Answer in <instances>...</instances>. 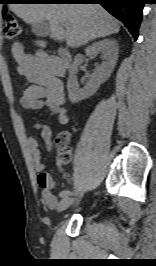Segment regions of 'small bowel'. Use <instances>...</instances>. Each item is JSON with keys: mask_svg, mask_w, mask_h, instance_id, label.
<instances>
[{"mask_svg": "<svg viewBox=\"0 0 156 266\" xmlns=\"http://www.w3.org/2000/svg\"><path fill=\"white\" fill-rule=\"evenodd\" d=\"M11 52L18 72L30 82L20 99L22 107L29 110L47 109L52 118L57 119L61 124H67L69 117L64 107L63 84L54 68L55 58L45 51L28 54L19 42L12 45ZM35 131L41 133L45 147L50 151L52 149L51 129L45 124L35 123L27 138V144L37 172V183L41 189L42 199L49 208H55L58 204L54 194L55 181L49 173L45 172L41 151L33 134Z\"/></svg>", "mask_w": 156, "mask_h": 266, "instance_id": "1", "label": "small bowel"}]
</instances>
